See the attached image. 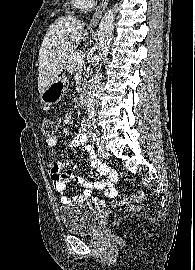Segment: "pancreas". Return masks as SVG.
<instances>
[{
	"mask_svg": "<svg viewBox=\"0 0 195 270\" xmlns=\"http://www.w3.org/2000/svg\"><path fill=\"white\" fill-rule=\"evenodd\" d=\"M74 53H75V52H73V53L70 55V57H69V59H68V62H67V70H68L70 73H74L76 70L80 69V67L84 65L83 61L78 62V61H75V60H74ZM84 70H85V72H84V73H85V77L88 78L87 70H86V69H84Z\"/></svg>",
	"mask_w": 195,
	"mask_h": 270,
	"instance_id": "obj_1",
	"label": "pancreas"
}]
</instances>
